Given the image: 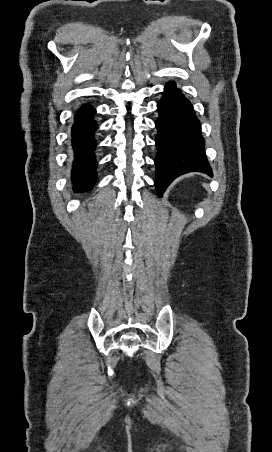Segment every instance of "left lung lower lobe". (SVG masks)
Listing matches in <instances>:
<instances>
[{
	"label": "left lung lower lobe",
	"instance_id": "0a47b994",
	"mask_svg": "<svg viewBox=\"0 0 272 452\" xmlns=\"http://www.w3.org/2000/svg\"><path fill=\"white\" fill-rule=\"evenodd\" d=\"M157 109L155 185L161 197L168 185L182 174L198 171L212 176V172L203 149L199 120L174 82L166 84Z\"/></svg>",
	"mask_w": 272,
	"mask_h": 452
}]
</instances>
